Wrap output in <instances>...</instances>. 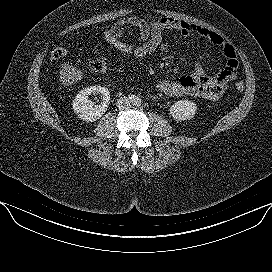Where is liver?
Returning a JSON list of instances; mask_svg holds the SVG:
<instances>
[{
  "mask_svg": "<svg viewBox=\"0 0 272 272\" xmlns=\"http://www.w3.org/2000/svg\"><path fill=\"white\" fill-rule=\"evenodd\" d=\"M61 76L65 86H69L83 78L82 72L69 64L62 66Z\"/></svg>",
  "mask_w": 272,
  "mask_h": 272,
  "instance_id": "obj_1",
  "label": "liver"
}]
</instances>
